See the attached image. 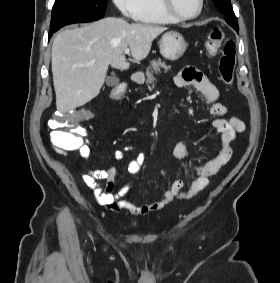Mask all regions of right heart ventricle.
<instances>
[{"label":"right heart ventricle","instance_id":"obj_1","mask_svg":"<svg viewBox=\"0 0 280 283\" xmlns=\"http://www.w3.org/2000/svg\"><path fill=\"white\" fill-rule=\"evenodd\" d=\"M134 19L139 23L151 25L178 22L163 10L160 0H139V10Z\"/></svg>","mask_w":280,"mask_h":283}]
</instances>
